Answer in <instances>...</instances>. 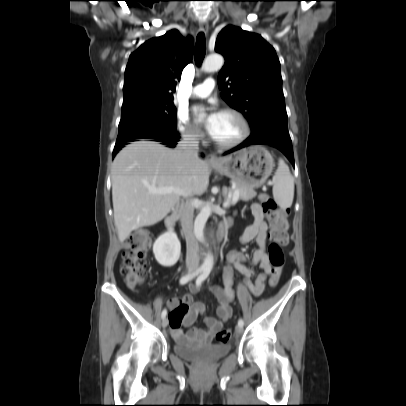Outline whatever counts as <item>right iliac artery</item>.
I'll return each instance as SVG.
<instances>
[{
    "instance_id": "right-iliac-artery-1",
    "label": "right iliac artery",
    "mask_w": 406,
    "mask_h": 406,
    "mask_svg": "<svg viewBox=\"0 0 406 406\" xmlns=\"http://www.w3.org/2000/svg\"><path fill=\"white\" fill-rule=\"evenodd\" d=\"M203 271H204V268H199V269L196 270L195 272L181 277V278H180V281H179L180 284H181V285L186 284L187 282H189L191 279H193L195 276H197L199 273H201V272H203ZM166 315H167V310L164 309V310L162 311V314H161L162 319H164V318L166 317Z\"/></svg>"
}]
</instances>
